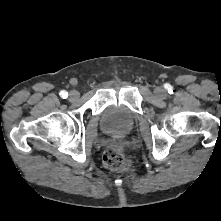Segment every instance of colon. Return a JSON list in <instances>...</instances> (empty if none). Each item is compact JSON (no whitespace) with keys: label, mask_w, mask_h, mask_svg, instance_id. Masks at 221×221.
Segmentation results:
<instances>
[{"label":"colon","mask_w":221,"mask_h":221,"mask_svg":"<svg viewBox=\"0 0 221 221\" xmlns=\"http://www.w3.org/2000/svg\"><path fill=\"white\" fill-rule=\"evenodd\" d=\"M104 165L116 171H128L132 166V161L125 155L121 145L109 146L103 155Z\"/></svg>","instance_id":"colon-1"}]
</instances>
